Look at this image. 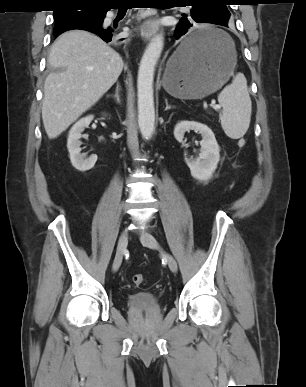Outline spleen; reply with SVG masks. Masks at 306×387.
<instances>
[{
	"label": "spleen",
	"mask_w": 306,
	"mask_h": 387,
	"mask_svg": "<svg viewBox=\"0 0 306 387\" xmlns=\"http://www.w3.org/2000/svg\"><path fill=\"white\" fill-rule=\"evenodd\" d=\"M218 102L223 108L220 120L225 134L231 139L243 137L251 121L252 103L242 73H237L232 83L219 93Z\"/></svg>",
	"instance_id": "spleen-1"
}]
</instances>
